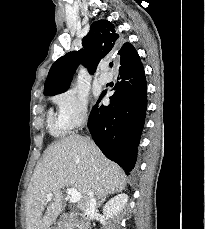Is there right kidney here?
<instances>
[{
  "label": "right kidney",
  "mask_w": 205,
  "mask_h": 229,
  "mask_svg": "<svg viewBox=\"0 0 205 229\" xmlns=\"http://www.w3.org/2000/svg\"><path fill=\"white\" fill-rule=\"evenodd\" d=\"M128 201V196L126 194H119L109 200L103 207V213L106 218H112L113 215L117 216L125 207Z\"/></svg>",
  "instance_id": "ca27d5eb"
}]
</instances>
